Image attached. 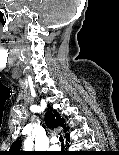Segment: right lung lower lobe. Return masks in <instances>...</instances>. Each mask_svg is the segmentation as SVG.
I'll return each mask as SVG.
<instances>
[{
  "instance_id": "right-lung-lower-lobe-1",
  "label": "right lung lower lobe",
  "mask_w": 119,
  "mask_h": 155,
  "mask_svg": "<svg viewBox=\"0 0 119 155\" xmlns=\"http://www.w3.org/2000/svg\"><path fill=\"white\" fill-rule=\"evenodd\" d=\"M69 139V134H68V136L66 137V140H68Z\"/></svg>"
}]
</instances>
